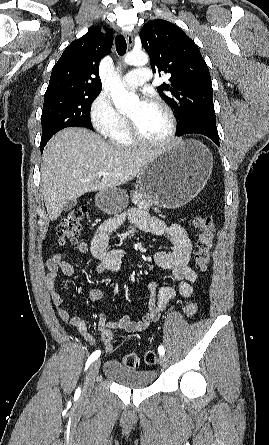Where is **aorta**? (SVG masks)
I'll list each match as a JSON object with an SVG mask.
<instances>
[{"mask_svg": "<svg viewBox=\"0 0 269 445\" xmlns=\"http://www.w3.org/2000/svg\"><path fill=\"white\" fill-rule=\"evenodd\" d=\"M149 61L148 55L144 52L132 51L124 58V63L134 66L146 65ZM110 94L116 109L121 112H127L139 103V98L135 93L125 89L119 75L115 74L110 83Z\"/></svg>", "mask_w": 269, "mask_h": 445, "instance_id": "aorta-1", "label": "aorta"}]
</instances>
